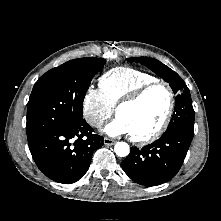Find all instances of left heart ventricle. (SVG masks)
<instances>
[{"mask_svg": "<svg viewBox=\"0 0 221 221\" xmlns=\"http://www.w3.org/2000/svg\"><path fill=\"white\" fill-rule=\"evenodd\" d=\"M169 103L164 86L151 88L136 104L123 107L118 117L126 124L131 135L142 137L152 133L161 124Z\"/></svg>", "mask_w": 221, "mask_h": 221, "instance_id": "b2bd125f", "label": "left heart ventricle"}]
</instances>
